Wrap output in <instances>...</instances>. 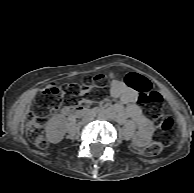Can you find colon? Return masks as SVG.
<instances>
[{
    "label": "colon",
    "mask_w": 194,
    "mask_h": 193,
    "mask_svg": "<svg viewBox=\"0 0 194 193\" xmlns=\"http://www.w3.org/2000/svg\"><path fill=\"white\" fill-rule=\"evenodd\" d=\"M125 82L138 90L137 101L141 104L147 115L157 123L159 133L157 138L143 149H135L143 156H156L163 148L164 143L170 142L175 137V123L173 119L162 113L163 98L151 89L144 79L130 74ZM106 87V79L103 75H96L86 79L82 84H72L66 88V103L79 101H97L103 96ZM64 101L63 93L56 84L48 86L42 93L27 122L28 139L40 149L47 147L44 137V126L50 114L57 110Z\"/></svg>",
    "instance_id": "1"
}]
</instances>
